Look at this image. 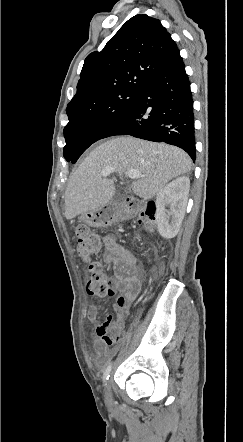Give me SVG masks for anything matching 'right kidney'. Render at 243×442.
I'll list each match as a JSON object with an SVG mask.
<instances>
[{"mask_svg": "<svg viewBox=\"0 0 243 442\" xmlns=\"http://www.w3.org/2000/svg\"><path fill=\"white\" fill-rule=\"evenodd\" d=\"M190 180L178 177L164 187L156 197V221L159 234L167 239L177 235L184 218ZM170 209L167 210L166 207Z\"/></svg>", "mask_w": 243, "mask_h": 442, "instance_id": "ca27d5eb", "label": "right kidney"}]
</instances>
